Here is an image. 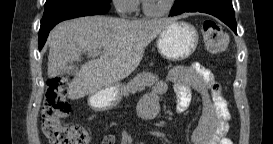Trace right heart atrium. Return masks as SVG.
Segmentation results:
<instances>
[{
  "label": "right heart atrium",
  "mask_w": 273,
  "mask_h": 144,
  "mask_svg": "<svg viewBox=\"0 0 273 144\" xmlns=\"http://www.w3.org/2000/svg\"><path fill=\"white\" fill-rule=\"evenodd\" d=\"M112 4L120 15H129L137 10L136 0H112Z\"/></svg>",
  "instance_id": "right-heart-atrium-1"
}]
</instances>
